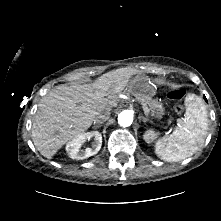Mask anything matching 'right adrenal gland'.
I'll return each instance as SVG.
<instances>
[{
	"instance_id": "right-adrenal-gland-1",
	"label": "right adrenal gland",
	"mask_w": 221,
	"mask_h": 221,
	"mask_svg": "<svg viewBox=\"0 0 221 221\" xmlns=\"http://www.w3.org/2000/svg\"><path fill=\"white\" fill-rule=\"evenodd\" d=\"M101 125H94L93 128L97 129V128H100Z\"/></svg>"
}]
</instances>
